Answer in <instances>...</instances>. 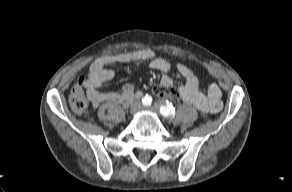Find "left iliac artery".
<instances>
[{
  "mask_svg": "<svg viewBox=\"0 0 292 192\" xmlns=\"http://www.w3.org/2000/svg\"><path fill=\"white\" fill-rule=\"evenodd\" d=\"M160 113L164 117H174L175 116V108L171 103L167 101L165 105L160 106Z\"/></svg>",
  "mask_w": 292,
  "mask_h": 192,
  "instance_id": "obj_1",
  "label": "left iliac artery"
}]
</instances>
